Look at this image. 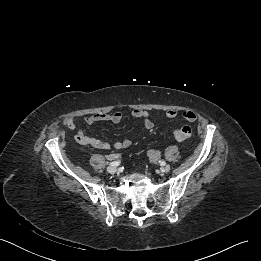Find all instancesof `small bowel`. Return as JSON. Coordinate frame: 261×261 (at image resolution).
<instances>
[{"label": "small bowel", "instance_id": "c3829d8e", "mask_svg": "<svg viewBox=\"0 0 261 261\" xmlns=\"http://www.w3.org/2000/svg\"><path fill=\"white\" fill-rule=\"evenodd\" d=\"M132 117L137 120H141L143 123V127L145 130L150 131L154 128V121L153 117L150 115V113L146 110L142 109H135L131 113ZM164 116L166 118H175L178 116V111L175 109H169L166 110L164 113ZM182 117L184 120L188 122H193L196 120L197 116L196 114L191 110H186L182 113ZM123 119V114L120 111L115 112H99V113H93L85 117V123L87 125H93L96 122L100 121H108L112 122L114 124H119ZM67 126L72 129L76 130L75 140L78 144L83 146H91L96 149H102L106 150L110 148V144L104 140H101L99 138L90 137L86 135L74 122V120L69 119L67 121ZM132 144V141L130 139H124L122 141H118L114 144V148L117 150L126 149L130 147ZM149 157L151 159H156L158 157V153L156 151H150Z\"/></svg>", "mask_w": 261, "mask_h": 261}]
</instances>
